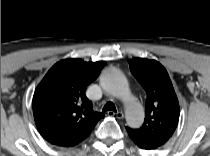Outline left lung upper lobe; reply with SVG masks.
I'll return each mask as SVG.
<instances>
[{
	"mask_svg": "<svg viewBox=\"0 0 210 156\" xmlns=\"http://www.w3.org/2000/svg\"><path fill=\"white\" fill-rule=\"evenodd\" d=\"M130 68L146 90L148 100L142 128L128 129V132L140 147L156 148L164 144L175 130L179 117L177 98L167 72L156 61L135 59Z\"/></svg>",
	"mask_w": 210,
	"mask_h": 156,
	"instance_id": "obj_1",
	"label": "left lung upper lobe"
}]
</instances>
